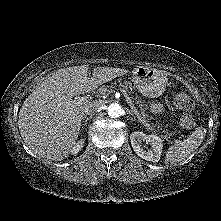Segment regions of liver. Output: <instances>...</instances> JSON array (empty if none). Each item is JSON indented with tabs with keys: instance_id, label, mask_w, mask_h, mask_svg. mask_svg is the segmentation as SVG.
Segmentation results:
<instances>
[{
	"instance_id": "6515ba94",
	"label": "liver",
	"mask_w": 221,
	"mask_h": 221,
	"mask_svg": "<svg viewBox=\"0 0 221 221\" xmlns=\"http://www.w3.org/2000/svg\"><path fill=\"white\" fill-rule=\"evenodd\" d=\"M88 69V65L59 69L23 102L18 126L24 143L34 154L54 161L68 157L78 139L85 107L91 103H69L71 98L128 72L96 67L88 77Z\"/></svg>"
}]
</instances>
